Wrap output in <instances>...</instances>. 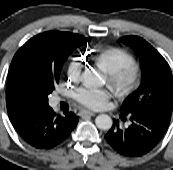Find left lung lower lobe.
Returning a JSON list of instances; mask_svg holds the SVG:
<instances>
[{"instance_id": "0a47b994", "label": "left lung lower lobe", "mask_w": 173, "mask_h": 170, "mask_svg": "<svg viewBox=\"0 0 173 170\" xmlns=\"http://www.w3.org/2000/svg\"><path fill=\"white\" fill-rule=\"evenodd\" d=\"M126 115L131 121L129 127L120 128L118 120L114 119L112 128L105 135L108 144L125 156L136 157L151 151L163 138L169 126L152 116Z\"/></svg>"}]
</instances>
